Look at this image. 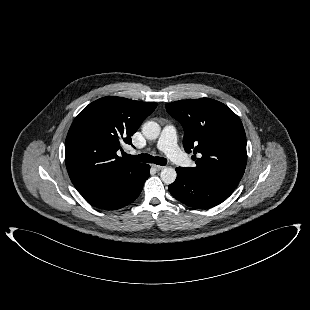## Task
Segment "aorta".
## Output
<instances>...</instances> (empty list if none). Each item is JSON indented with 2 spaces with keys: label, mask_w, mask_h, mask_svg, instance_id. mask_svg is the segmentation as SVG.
<instances>
[{
  "label": "aorta",
  "mask_w": 310,
  "mask_h": 310,
  "mask_svg": "<svg viewBox=\"0 0 310 310\" xmlns=\"http://www.w3.org/2000/svg\"><path fill=\"white\" fill-rule=\"evenodd\" d=\"M160 131V125L154 121H147L142 126V133L149 140L158 138ZM160 177L165 184H171L176 180L177 173L174 168L165 167L162 169Z\"/></svg>",
  "instance_id": "obj_1"
}]
</instances>
